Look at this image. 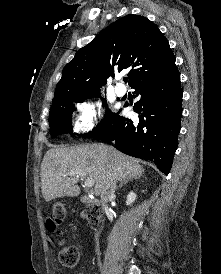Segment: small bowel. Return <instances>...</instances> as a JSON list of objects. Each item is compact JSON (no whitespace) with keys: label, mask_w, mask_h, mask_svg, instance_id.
I'll list each match as a JSON object with an SVG mask.
<instances>
[{"label":"small bowel","mask_w":221,"mask_h":274,"mask_svg":"<svg viewBox=\"0 0 221 274\" xmlns=\"http://www.w3.org/2000/svg\"><path fill=\"white\" fill-rule=\"evenodd\" d=\"M45 228L49 233H54L56 231V226L51 218H47L45 221Z\"/></svg>","instance_id":"c3829d8e"}]
</instances>
